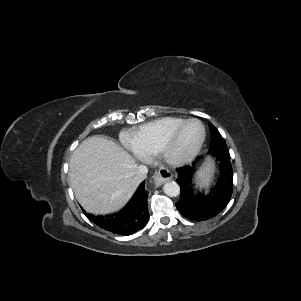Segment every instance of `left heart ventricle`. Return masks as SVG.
Here are the masks:
<instances>
[{
  "instance_id": "b2bd125f",
  "label": "left heart ventricle",
  "mask_w": 301,
  "mask_h": 301,
  "mask_svg": "<svg viewBox=\"0 0 301 301\" xmlns=\"http://www.w3.org/2000/svg\"><path fill=\"white\" fill-rule=\"evenodd\" d=\"M202 136V128L199 123L187 124L178 135L173 147L172 154L182 157L194 150Z\"/></svg>"
}]
</instances>
